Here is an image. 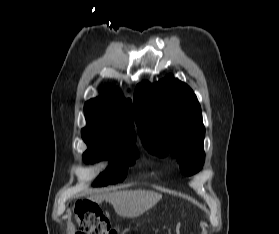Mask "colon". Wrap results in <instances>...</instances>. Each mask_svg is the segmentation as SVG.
<instances>
[{
  "instance_id": "1",
  "label": "colon",
  "mask_w": 279,
  "mask_h": 234,
  "mask_svg": "<svg viewBox=\"0 0 279 234\" xmlns=\"http://www.w3.org/2000/svg\"><path fill=\"white\" fill-rule=\"evenodd\" d=\"M76 234H119L111 227L102 210L91 202H84L77 209Z\"/></svg>"
}]
</instances>
